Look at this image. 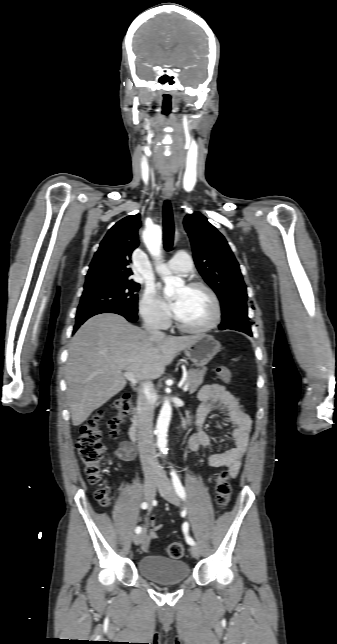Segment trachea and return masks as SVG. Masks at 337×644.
Wrapping results in <instances>:
<instances>
[{
	"label": "trachea",
	"instance_id": "3493384b",
	"mask_svg": "<svg viewBox=\"0 0 337 644\" xmlns=\"http://www.w3.org/2000/svg\"><path fill=\"white\" fill-rule=\"evenodd\" d=\"M174 241V223L169 200L164 202L163 208V243L166 250H170Z\"/></svg>",
	"mask_w": 337,
	"mask_h": 644
}]
</instances>
